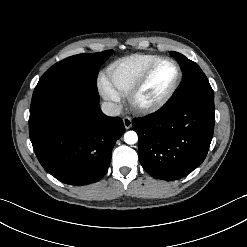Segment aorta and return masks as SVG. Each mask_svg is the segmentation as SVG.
Listing matches in <instances>:
<instances>
[{
  "label": "aorta",
  "mask_w": 247,
  "mask_h": 247,
  "mask_svg": "<svg viewBox=\"0 0 247 247\" xmlns=\"http://www.w3.org/2000/svg\"><path fill=\"white\" fill-rule=\"evenodd\" d=\"M124 141L129 145H133L138 141V135L134 131H128L124 134Z\"/></svg>",
  "instance_id": "aorta-1"
}]
</instances>
